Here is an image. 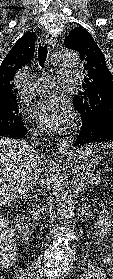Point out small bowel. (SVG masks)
<instances>
[{
	"label": "small bowel",
	"mask_w": 113,
	"mask_h": 279,
	"mask_svg": "<svg viewBox=\"0 0 113 279\" xmlns=\"http://www.w3.org/2000/svg\"><path fill=\"white\" fill-rule=\"evenodd\" d=\"M102 266L113 272V238L110 253L103 259Z\"/></svg>",
	"instance_id": "c3829d8e"
}]
</instances>
